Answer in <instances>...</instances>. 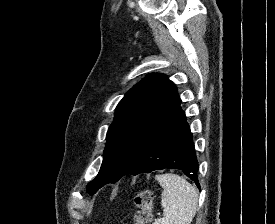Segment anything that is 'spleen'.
I'll return each instance as SVG.
<instances>
[{
    "label": "spleen",
    "instance_id": "obj_1",
    "mask_svg": "<svg viewBox=\"0 0 275 224\" xmlns=\"http://www.w3.org/2000/svg\"><path fill=\"white\" fill-rule=\"evenodd\" d=\"M163 188V217L153 224H191L198 207V190L187 180L173 173L156 175Z\"/></svg>",
    "mask_w": 275,
    "mask_h": 224
}]
</instances>
